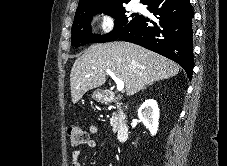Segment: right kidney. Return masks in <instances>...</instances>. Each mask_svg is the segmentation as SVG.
Segmentation results:
<instances>
[{"label": "right kidney", "mask_w": 227, "mask_h": 166, "mask_svg": "<svg viewBox=\"0 0 227 166\" xmlns=\"http://www.w3.org/2000/svg\"><path fill=\"white\" fill-rule=\"evenodd\" d=\"M159 114L158 104L153 99L146 100L138 109L140 121L149 129L152 136L158 131Z\"/></svg>", "instance_id": "ca27d5eb"}]
</instances>
